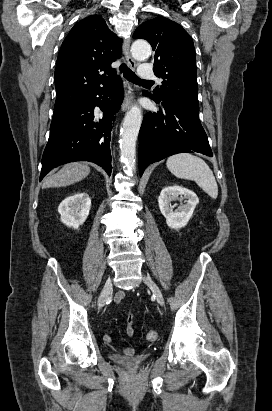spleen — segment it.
<instances>
[{"label":"spleen","mask_w":272,"mask_h":411,"mask_svg":"<svg viewBox=\"0 0 272 411\" xmlns=\"http://www.w3.org/2000/svg\"><path fill=\"white\" fill-rule=\"evenodd\" d=\"M166 166L177 178L193 180L211 198H217V182L212 170L201 158L189 153H180L170 156L167 159Z\"/></svg>","instance_id":"obj_1"}]
</instances>
